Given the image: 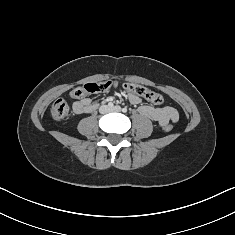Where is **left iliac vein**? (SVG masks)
<instances>
[{"instance_id": "4c4485c4", "label": "left iliac vein", "mask_w": 235, "mask_h": 235, "mask_svg": "<svg viewBox=\"0 0 235 235\" xmlns=\"http://www.w3.org/2000/svg\"><path fill=\"white\" fill-rule=\"evenodd\" d=\"M111 111H113V112H120L121 111V107L120 106H115V107L111 108Z\"/></svg>"}]
</instances>
